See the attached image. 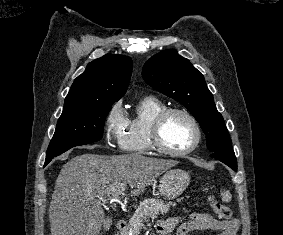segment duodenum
Here are the masks:
<instances>
[{
    "mask_svg": "<svg viewBox=\"0 0 283 235\" xmlns=\"http://www.w3.org/2000/svg\"><path fill=\"white\" fill-rule=\"evenodd\" d=\"M127 226V222L125 220H118L115 223V228L117 232H122Z\"/></svg>",
    "mask_w": 283,
    "mask_h": 235,
    "instance_id": "410a0bca",
    "label": "duodenum"
}]
</instances>
